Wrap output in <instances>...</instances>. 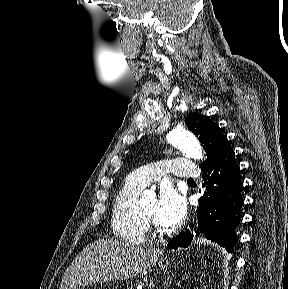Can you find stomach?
Here are the masks:
<instances>
[{
	"label": "stomach",
	"mask_w": 288,
	"mask_h": 289,
	"mask_svg": "<svg viewBox=\"0 0 288 289\" xmlns=\"http://www.w3.org/2000/svg\"><path fill=\"white\" fill-rule=\"evenodd\" d=\"M159 267L161 270H165L168 265H169V260L167 258H162L159 263H158ZM78 289H87L84 286L83 287H79Z\"/></svg>",
	"instance_id": "1"
}]
</instances>
